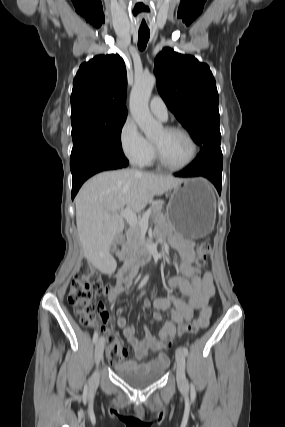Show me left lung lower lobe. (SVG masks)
Returning a JSON list of instances; mask_svg holds the SVG:
<instances>
[{"label":"left lung lower lobe","mask_w":285,"mask_h":427,"mask_svg":"<svg viewBox=\"0 0 285 427\" xmlns=\"http://www.w3.org/2000/svg\"><path fill=\"white\" fill-rule=\"evenodd\" d=\"M222 166L223 156L221 150H205L201 151L198 157L185 170L174 175L177 177L204 176L221 193Z\"/></svg>","instance_id":"left-lung-lower-lobe-1"}]
</instances>
